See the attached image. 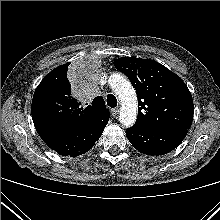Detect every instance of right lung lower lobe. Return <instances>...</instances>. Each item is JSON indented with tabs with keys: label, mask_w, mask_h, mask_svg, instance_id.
Wrapping results in <instances>:
<instances>
[{
	"label": "right lung lower lobe",
	"mask_w": 220,
	"mask_h": 220,
	"mask_svg": "<svg viewBox=\"0 0 220 220\" xmlns=\"http://www.w3.org/2000/svg\"><path fill=\"white\" fill-rule=\"evenodd\" d=\"M109 115L101 114L89 122L71 129L38 132L48 147L62 156L75 157L87 152L100 138Z\"/></svg>",
	"instance_id": "obj_1"
}]
</instances>
